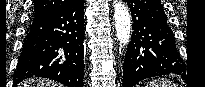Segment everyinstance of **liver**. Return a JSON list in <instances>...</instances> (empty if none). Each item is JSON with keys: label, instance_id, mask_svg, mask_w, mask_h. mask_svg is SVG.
Returning a JSON list of instances; mask_svg holds the SVG:
<instances>
[{"label": "liver", "instance_id": "obj_1", "mask_svg": "<svg viewBox=\"0 0 205 87\" xmlns=\"http://www.w3.org/2000/svg\"><path fill=\"white\" fill-rule=\"evenodd\" d=\"M19 87H61L59 84L53 83L45 79H29L20 84Z\"/></svg>", "mask_w": 205, "mask_h": 87}]
</instances>
